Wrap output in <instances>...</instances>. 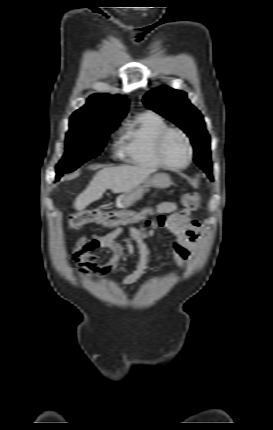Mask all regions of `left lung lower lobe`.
I'll return each mask as SVG.
<instances>
[{
	"label": "left lung lower lobe",
	"mask_w": 273,
	"mask_h": 430,
	"mask_svg": "<svg viewBox=\"0 0 273 430\" xmlns=\"http://www.w3.org/2000/svg\"><path fill=\"white\" fill-rule=\"evenodd\" d=\"M201 169H203L207 173L208 177L211 180H213V176H212V173H211V165H208V166H205V167H201Z\"/></svg>",
	"instance_id": "obj_1"
}]
</instances>
